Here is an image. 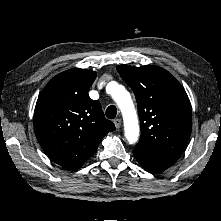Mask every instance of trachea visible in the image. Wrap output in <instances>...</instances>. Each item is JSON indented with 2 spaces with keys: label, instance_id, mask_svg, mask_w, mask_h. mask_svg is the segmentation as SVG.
I'll return each instance as SVG.
<instances>
[{
  "label": "trachea",
  "instance_id": "1",
  "mask_svg": "<svg viewBox=\"0 0 221 221\" xmlns=\"http://www.w3.org/2000/svg\"><path fill=\"white\" fill-rule=\"evenodd\" d=\"M117 114V109L116 106L114 105H110L107 109H106V117L108 119H114L116 117Z\"/></svg>",
  "mask_w": 221,
  "mask_h": 221
}]
</instances>
